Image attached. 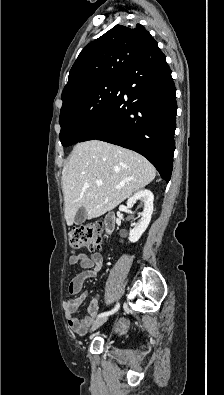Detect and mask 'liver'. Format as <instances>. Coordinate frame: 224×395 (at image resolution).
Segmentation results:
<instances>
[{
	"instance_id": "obj_1",
	"label": "liver",
	"mask_w": 224,
	"mask_h": 395,
	"mask_svg": "<svg viewBox=\"0 0 224 395\" xmlns=\"http://www.w3.org/2000/svg\"><path fill=\"white\" fill-rule=\"evenodd\" d=\"M155 167L129 149L103 141L78 143L62 170L65 219L74 223L83 206L87 218L102 216L155 179ZM96 181H102L98 186ZM116 186H122L115 189Z\"/></svg>"
}]
</instances>
